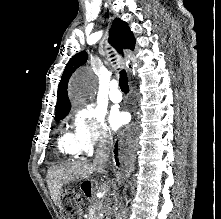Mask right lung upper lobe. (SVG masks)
<instances>
[{
	"mask_svg": "<svg viewBox=\"0 0 221 219\" xmlns=\"http://www.w3.org/2000/svg\"><path fill=\"white\" fill-rule=\"evenodd\" d=\"M110 43L119 51L122 52L123 48L133 50L135 46V38L126 22L119 18L114 19L110 34ZM87 60L86 52H79L75 54L63 72L61 81L58 87V96L56 104V116L65 113L70 110L71 104L67 95V84L72 73Z\"/></svg>",
	"mask_w": 221,
	"mask_h": 219,
	"instance_id": "1",
	"label": "right lung upper lobe"
}]
</instances>
